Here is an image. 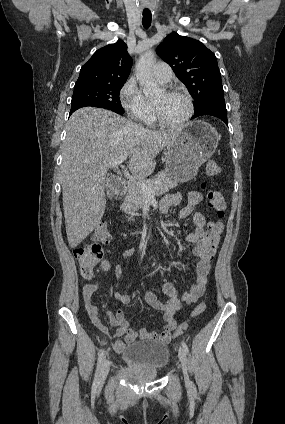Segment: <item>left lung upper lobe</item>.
<instances>
[{
    "mask_svg": "<svg viewBox=\"0 0 285 424\" xmlns=\"http://www.w3.org/2000/svg\"><path fill=\"white\" fill-rule=\"evenodd\" d=\"M156 52L186 85L194 109L212 97L224 96L216 56L202 42L172 33Z\"/></svg>",
    "mask_w": 285,
    "mask_h": 424,
    "instance_id": "5c2ea615",
    "label": "left lung upper lobe"
}]
</instances>
